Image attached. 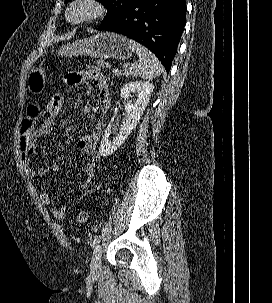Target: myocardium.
Segmentation results:
<instances>
[{"instance_id": "myocardium-1", "label": "myocardium", "mask_w": 272, "mask_h": 303, "mask_svg": "<svg viewBox=\"0 0 272 303\" xmlns=\"http://www.w3.org/2000/svg\"><path fill=\"white\" fill-rule=\"evenodd\" d=\"M79 7L85 8L86 12L75 17L74 11ZM106 11V6L100 0H73L66 10L65 17L70 24L80 25L101 19L105 16Z\"/></svg>"}]
</instances>
